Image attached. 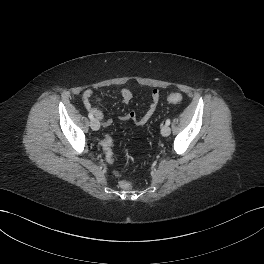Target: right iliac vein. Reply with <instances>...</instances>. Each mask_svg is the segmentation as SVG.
<instances>
[{"label":"right iliac vein","mask_w":264,"mask_h":264,"mask_svg":"<svg viewBox=\"0 0 264 264\" xmlns=\"http://www.w3.org/2000/svg\"><path fill=\"white\" fill-rule=\"evenodd\" d=\"M90 126L93 130H98L100 128V122L97 119H92L90 122Z\"/></svg>","instance_id":"obj_1"}]
</instances>
